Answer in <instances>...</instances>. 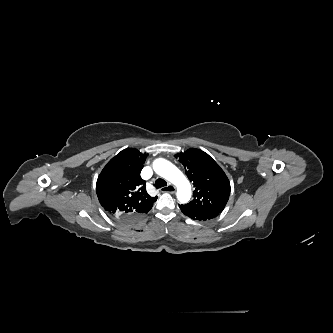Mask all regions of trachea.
Wrapping results in <instances>:
<instances>
[{"label": "trachea", "instance_id": "1", "mask_svg": "<svg viewBox=\"0 0 333 333\" xmlns=\"http://www.w3.org/2000/svg\"><path fill=\"white\" fill-rule=\"evenodd\" d=\"M166 185H167V182L164 179L159 178L155 181V187L156 188H161V187H164Z\"/></svg>", "mask_w": 333, "mask_h": 333}]
</instances>
